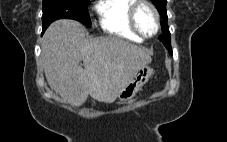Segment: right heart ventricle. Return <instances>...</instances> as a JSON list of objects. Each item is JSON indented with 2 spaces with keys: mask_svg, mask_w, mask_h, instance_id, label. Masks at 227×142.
<instances>
[{
  "mask_svg": "<svg viewBox=\"0 0 227 142\" xmlns=\"http://www.w3.org/2000/svg\"><path fill=\"white\" fill-rule=\"evenodd\" d=\"M136 0H100L96 5L101 30L110 36L140 43L138 36L129 25L128 12Z\"/></svg>",
  "mask_w": 227,
  "mask_h": 142,
  "instance_id": "e07e8e85",
  "label": "right heart ventricle"
}]
</instances>
